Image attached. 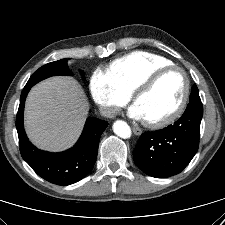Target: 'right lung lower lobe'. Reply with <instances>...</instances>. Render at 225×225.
<instances>
[{
	"mask_svg": "<svg viewBox=\"0 0 225 225\" xmlns=\"http://www.w3.org/2000/svg\"><path fill=\"white\" fill-rule=\"evenodd\" d=\"M31 87L26 85L21 93L16 118L21 155L43 179L62 186L75 183L92 170L97 158L101 134L108 123L89 117L80 139L73 148L61 153L41 151L29 142L23 127L24 104Z\"/></svg>",
	"mask_w": 225,
	"mask_h": 225,
	"instance_id": "obj_1",
	"label": "right lung lower lobe"
}]
</instances>
